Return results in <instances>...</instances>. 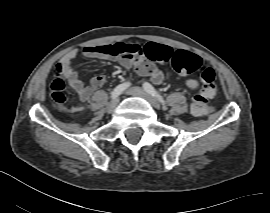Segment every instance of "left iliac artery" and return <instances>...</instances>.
<instances>
[{
    "mask_svg": "<svg viewBox=\"0 0 270 213\" xmlns=\"http://www.w3.org/2000/svg\"><path fill=\"white\" fill-rule=\"evenodd\" d=\"M143 88L146 92H148L150 95L156 97V99L163 105V107L166 106V101L164 100L163 96L159 94L156 89L148 82H145L143 84Z\"/></svg>",
    "mask_w": 270,
    "mask_h": 213,
    "instance_id": "obj_1",
    "label": "left iliac artery"
}]
</instances>
